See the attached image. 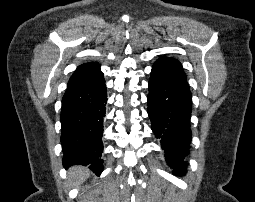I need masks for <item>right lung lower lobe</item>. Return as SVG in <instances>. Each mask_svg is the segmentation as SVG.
<instances>
[{
	"label": "right lung lower lobe",
	"mask_w": 255,
	"mask_h": 202,
	"mask_svg": "<svg viewBox=\"0 0 255 202\" xmlns=\"http://www.w3.org/2000/svg\"><path fill=\"white\" fill-rule=\"evenodd\" d=\"M107 92L103 78L68 87L62 99L61 143L63 165H89L96 174L103 170L102 133Z\"/></svg>",
	"instance_id": "obj_1"
}]
</instances>
